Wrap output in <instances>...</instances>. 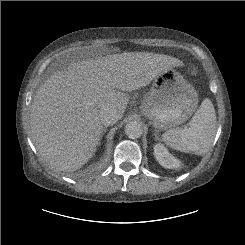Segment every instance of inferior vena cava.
<instances>
[{
    "label": "inferior vena cava",
    "mask_w": 245,
    "mask_h": 245,
    "mask_svg": "<svg viewBox=\"0 0 245 245\" xmlns=\"http://www.w3.org/2000/svg\"><path fill=\"white\" fill-rule=\"evenodd\" d=\"M100 121L103 125L109 126L115 124L119 119V114L113 107L105 106L99 113Z\"/></svg>",
    "instance_id": "602c4592"
}]
</instances>
